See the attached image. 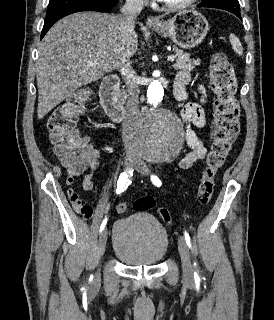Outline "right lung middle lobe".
Listing matches in <instances>:
<instances>
[{
  "instance_id": "1",
  "label": "right lung middle lobe",
  "mask_w": 274,
  "mask_h": 320,
  "mask_svg": "<svg viewBox=\"0 0 274 320\" xmlns=\"http://www.w3.org/2000/svg\"><path fill=\"white\" fill-rule=\"evenodd\" d=\"M58 1H60V0H50L49 4H53V3H56Z\"/></svg>"
}]
</instances>
